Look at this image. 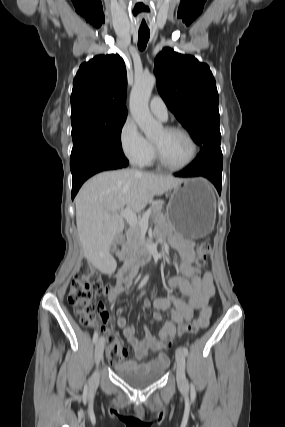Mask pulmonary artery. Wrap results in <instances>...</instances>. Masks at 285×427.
Listing matches in <instances>:
<instances>
[{
  "label": "pulmonary artery",
  "instance_id": "obj_1",
  "mask_svg": "<svg viewBox=\"0 0 285 427\" xmlns=\"http://www.w3.org/2000/svg\"><path fill=\"white\" fill-rule=\"evenodd\" d=\"M151 112L161 120L165 121L168 116V110L165 102L160 96H154L149 103Z\"/></svg>",
  "mask_w": 285,
  "mask_h": 427
}]
</instances>
